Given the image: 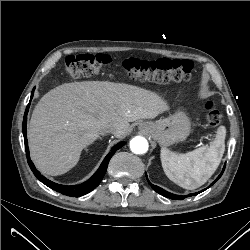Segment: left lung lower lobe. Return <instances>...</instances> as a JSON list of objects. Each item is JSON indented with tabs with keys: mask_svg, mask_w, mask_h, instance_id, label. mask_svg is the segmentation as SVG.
<instances>
[{
	"mask_svg": "<svg viewBox=\"0 0 250 250\" xmlns=\"http://www.w3.org/2000/svg\"><path fill=\"white\" fill-rule=\"evenodd\" d=\"M224 169H225V166H224V168H223L221 174L217 177V179H216L210 186H212V185L221 177V175H222L223 172H224ZM146 177H147V175H146ZM147 180H148V179H147ZM148 182H149V184L151 185V187H152L157 193L161 194V195L164 196V197H167V198H170V199H174V200H182V199H184L185 197L197 195L198 193H200V192H198V193L189 194V195H186V196L175 195V194H172V193H169V192L163 190L162 188H160V187H158V186L153 185L152 183H150L149 180H148ZM210 186H209V187H210ZM204 190H206V189H204ZM204 190H202V191H204ZM202 191H201V192H202Z\"/></svg>",
	"mask_w": 250,
	"mask_h": 250,
	"instance_id": "0a47b994",
	"label": "left lung lower lobe"
}]
</instances>
